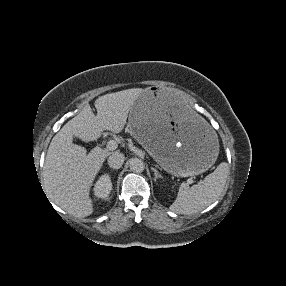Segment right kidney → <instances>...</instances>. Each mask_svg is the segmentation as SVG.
I'll list each match as a JSON object with an SVG mask.
<instances>
[{
	"label": "right kidney",
	"instance_id": "right-kidney-1",
	"mask_svg": "<svg viewBox=\"0 0 286 286\" xmlns=\"http://www.w3.org/2000/svg\"><path fill=\"white\" fill-rule=\"evenodd\" d=\"M111 190L112 182L109 175L104 174L100 176L94 187L95 196L98 198L107 199Z\"/></svg>",
	"mask_w": 286,
	"mask_h": 286
}]
</instances>
